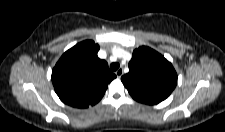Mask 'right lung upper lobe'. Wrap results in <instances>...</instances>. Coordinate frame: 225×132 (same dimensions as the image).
Returning <instances> with one entry per match:
<instances>
[{
    "label": "right lung upper lobe",
    "mask_w": 225,
    "mask_h": 132,
    "mask_svg": "<svg viewBox=\"0 0 225 132\" xmlns=\"http://www.w3.org/2000/svg\"><path fill=\"white\" fill-rule=\"evenodd\" d=\"M98 50L92 40H85L67 50L56 63L51 78L65 104L77 108L95 105L116 78L107 62L98 58Z\"/></svg>",
    "instance_id": "obj_1"
}]
</instances>
